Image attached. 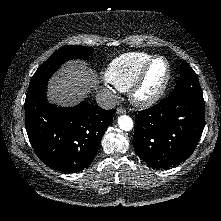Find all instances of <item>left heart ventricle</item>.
Segmentation results:
<instances>
[{
	"instance_id": "obj_1",
	"label": "left heart ventricle",
	"mask_w": 221,
	"mask_h": 221,
	"mask_svg": "<svg viewBox=\"0 0 221 221\" xmlns=\"http://www.w3.org/2000/svg\"><path fill=\"white\" fill-rule=\"evenodd\" d=\"M166 71V64L163 60L155 61L148 72L141 93L143 95L154 93L162 84Z\"/></svg>"
}]
</instances>
